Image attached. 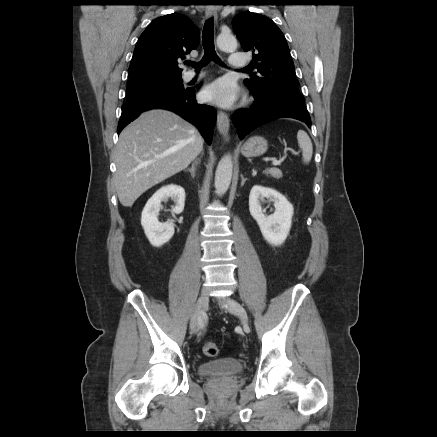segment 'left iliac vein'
Listing matches in <instances>:
<instances>
[{
    "mask_svg": "<svg viewBox=\"0 0 437 437\" xmlns=\"http://www.w3.org/2000/svg\"><path fill=\"white\" fill-rule=\"evenodd\" d=\"M222 304L226 307V309L238 316L243 324L244 328H248V317H247V313L245 311V309L235 300L231 299V298H225L222 301Z\"/></svg>",
    "mask_w": 437,
    "mask_h": 437,
    "instance_id": "4c4485c4",
    "label": "left iliac vein"
}]
</instances>
